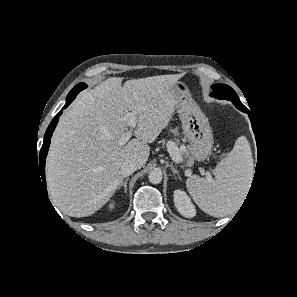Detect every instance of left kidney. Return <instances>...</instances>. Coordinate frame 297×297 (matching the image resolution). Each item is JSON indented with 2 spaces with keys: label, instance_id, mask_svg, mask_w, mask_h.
<instances>
[{
  "label": "left kidney",
  "instance_id": "obj_1",
  "mask_svg": "<svg viewBox=\"0 0 297 297\" xmlns=\"http://www.w3.org/2000/svg\"><path fill=\"white\" fill-rule=\"evenodd\" d=\"M174 203L178 212L184 217L192 218L195 216V207L186 192L182 190H176L174 192Z\"/></svg>",
  "mask_w": 297,
  "mask_h": 297
}]
</instances>
